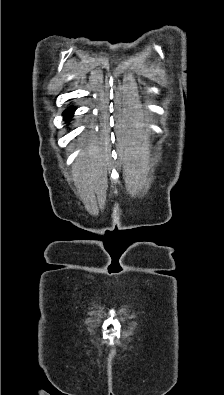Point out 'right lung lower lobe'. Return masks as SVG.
I'll return each instance as SVG.
<instances>
[{"label": "right lung lower lobe", "mask_w": 224, "mask_h": 395, "mask_svg": "<svg viewBox=\"0 0 224 395\" xmlns=\"http://www.w3.org/2000/svg\"><path fill=\"white\" fill-rule=\"evenodd\" d=\"M73 111H74L73 108H69L68 110H66V111L64 112V118H65V119H69V118L72 116Z\"/></svg>", "instance_id": "1"}]
</instances>
